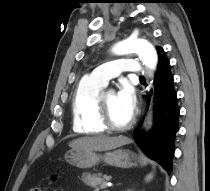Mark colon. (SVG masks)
Listing matches in <instances>:
<instances>
[{
	"label": "colon",
	"instance_id": "obj_1",
	"mask_svg": "<svg viewBox=\"0 0 210 191\" xmlns=\"http://www.w3.org/2000/svg\"><path fill=\"white\" fill-rule=\"evenodd\" d=\"M29 191H46L44 187H33Z\"/></svg>",
	"mask_w": 210,
	"mask_h": 191
}]
</instances>
